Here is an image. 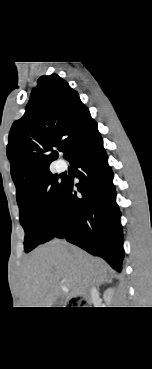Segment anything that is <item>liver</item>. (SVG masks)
<instances>
[{
	"instance_id": "liver-1",
	"label": "liver",
	"mask_w": 152,
	"mask_h": 369,
	"mask_svg": "<svg viewBox=\"0 0 152 369\" xmlns=\"http://www.w3.org/2000/svg\"><path fill=\"white\" fill-rule=\"evenodd\" d=\"M103 260L63 240L36 248L24 262L21 274L23 307H52L59 297L85 295L107 278ZM67 292L63 291L60 281Z\"/></svg>"
}]
</instances>
